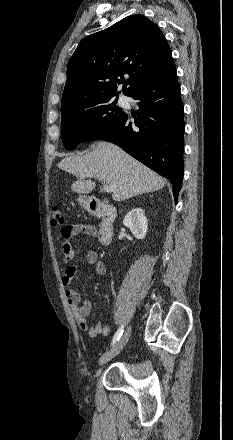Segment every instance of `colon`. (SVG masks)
<instances>
[{
  "mask_svg": "<svg viewBox=\"0 0 233 440\" xmlns=\"http://www.w3.org/2000/svg\"><path fill=\"white\" fill-rule=\"evenodd\" d=\"M51 221L55 226H62L64 224V215L62 209L58 205H53L51 208Z\"/></svg>",
  "mask_w": 233,
  "mask_h": 440,
  "instance_id": "colon-1",
  "label": "colon"
}]
</instances>
